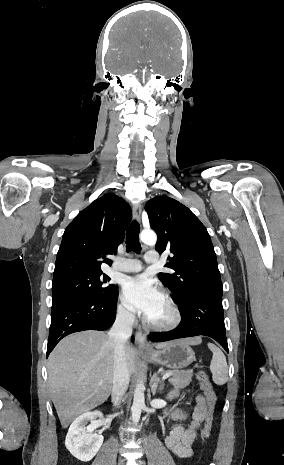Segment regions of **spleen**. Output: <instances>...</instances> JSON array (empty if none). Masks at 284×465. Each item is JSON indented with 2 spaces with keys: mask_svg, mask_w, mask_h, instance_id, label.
<instances>
[{
  "mask_svg": "<svg viewBox=\"0 0 284 465\" xmlns=\"http://www.w3.org/2000/svg\"><path fill=\"white\" fill-rule=\"evenodd\" d=\"M208 349L212 351L213 357L210 363V371L215 385H225L228 381V365L224 353L219 347L208 343Z\"/></svg>",
  "mask_w": 284,
  "mask_h": 465,
  "instance_id": "1",
  "label": "spleen"
}]
</instances>
